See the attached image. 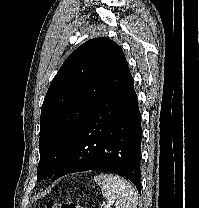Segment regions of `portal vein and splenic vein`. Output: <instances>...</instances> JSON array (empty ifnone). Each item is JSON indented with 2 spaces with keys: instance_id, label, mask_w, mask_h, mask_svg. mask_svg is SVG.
Listing matches in <instances>:
<instances>
[{
  "instance_id": "1",
  "label": "portal vein and splenic vein",
  "mask_w": 199,
  "mask_h": 208,
  "mask_svg": "<svg viewBox=\"0 0 199 208\" xmlns=\"http://www.w3.org/2000/svg\"><path fill=\"white\" fill-rule=\"evenodd\" d=\"M110 207V204L107 202L104 204V208H109Z\"/></svg>"
}]
</instances>
